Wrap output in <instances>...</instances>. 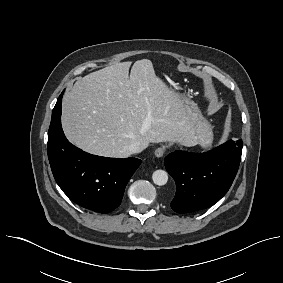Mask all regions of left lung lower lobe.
Segmentation results:
<instances>
[{
  "label": "left lung lower lobe",
  "instance_id": "0a47b994",
  "mask_svg": "<svg viewBox=\"0 0 283 283\" xmlns=\"http://www.w3.org/2000/svg\"><path fill=\"white\" fill-rule=\"evenodd\" d=\"M242 140H229L206 153L175 151L165 158V167L176 183L171 202L177 213L208 208L229 190L239 168Z\"/></svg>",
  "mask_w": 283,
  "mask_h": 283
}]
</instances>
